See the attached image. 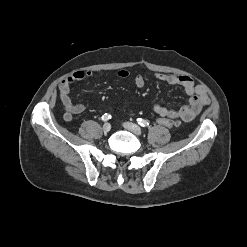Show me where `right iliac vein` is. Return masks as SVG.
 Returning a JSON list of instances; mask_svg holds the SVG:
<instances>
[{
  "instance_id": "63e3f726",
  "label": "right iliac vein",
  "mask_w": 247,
  "mask_h": 247,
  "mask_svg": "<svg viewBox=\"0 0 247 247\" xmlns=\"http://www.w3.org/2000/svg\"><path fill=\"white\" fill-rule=\"evenodd\" d=\"M102 129H103V131H104L105 133L109 132V131L111 130V125H110V123H105V124L103 125Z\"/></svg>"
}]
</instances>
